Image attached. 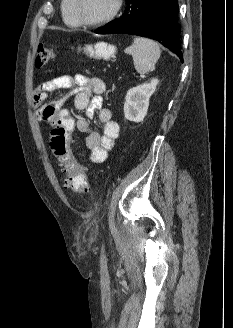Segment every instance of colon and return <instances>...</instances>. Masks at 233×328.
Segmentation results:
<instances>
[{
	"mask_svg": "<svg viewBox=\"0 0 233 328\" xmlns=\"http://www.w3.org/2000/svg\"><path fill=\"white\" fill-rule=\"evenodd\" d=\"M85 52L91 56L111 57L112 51L105 45L88 46ZM53 58V51L47 46L39 45L37 48L35 65L40 68ZM49 137L50 147L57 161L68 172V185L71 189L87 193L89 183L82 166L74 159L70 151V141L75 128V121L66 110L58 111L51 123Z\"/></svg>",
	"mask_w": 233,
	"mask_h": 328,
	"instance_id": "1",
	"label": "colon"
}]
</instances>
